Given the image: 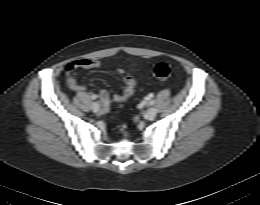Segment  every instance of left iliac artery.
I'll list each match as a JSON object with an SVG mask.
<instances>
[{
    "mask_svg": "<svg viewBox=\"0 0 260 205\" xmlns=\"http://www.w3.org/2000/svg\"><path fill=\"white\" fill-rule=\"evenodd\" d=\"M154 103H155L154 100H151V101L149 102L150 105H154Z\"/></svg>",
    "mask_w": 260,
    "mask_h": 205,
    "instance_id": "44dca946",
    "label": "left iliac artery"
}]
</instances>
